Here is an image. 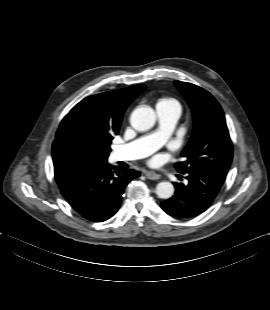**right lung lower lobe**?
Returning a JSON list of instances; mask_svg holds the SVG:
<instances>
[{
  "mask_svg": "<svg viewBox=\"0 0 270 310\" xmlns=\"http://www.w3.org/2000/svg\"><path fill=\"white\" fill-rule=\"evenodd\" d=\"M107 162L82 163L55 168L61 194L82 217L103 222L116 214L126 185L139 176L133 169L116 168Z\"/></svg>",
  "mask_w": 270,
  "mask_h": 310,
  "instance_id": "right-lung-lower-lobe-1",
  "label": "right lung lower lobe"
}]
</instances>
